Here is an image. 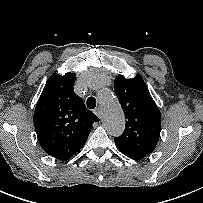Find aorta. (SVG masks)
Instances as JSON below:
<instances>
[{
  "label": "aorta",
  "mask_w": 203,
  "mask_h": 203,
  "mask_svg": "<svg viewBox=\"0 0 203 203\" xmlns=\"http://www.w3.org/2000/svg\"><path fill=\"white\" fill-rule=\"evenodd\" d=\"M98 100L105 129L112 136L121 135L125 128V117L117 98L111 90L104 88L98 91Z\"/></svg>",
  "instance_id": "1"
}]
</instances>
